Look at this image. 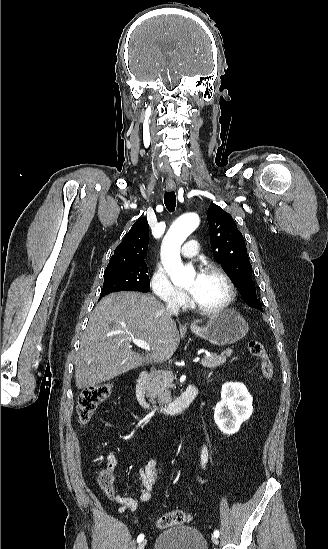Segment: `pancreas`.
Here are the masks:
<instances>
[{
	"label": "pancreas",
	"instance_id": "obj_1",
	"mask_svg": "<svg viewBox=\"0 0 328 549\" xmlns=\"http://www.w3.org/2000/svg\"><path fill=\"white\" fill-rule=\"evenodd\" d=\"M232 349H226L221 355L211 353L210 357H203L201 365L208 369H215L219 365H223L226 357H231ZM174 375L172 371H156L150 377V381L146 387L147 395L151 399V403H159V405H167L171 403V395L168 391L169 387H173ZM157 399V401H155Z\"/></svg>",
	"mask_w": 328,
	"mask_h": 549
}]
</instances>
